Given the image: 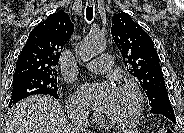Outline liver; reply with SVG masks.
I'll use <instances>...</instances> for the list:
<instances>
[{
    "label": "liver",
    "mask_w": 184,
    "mask_h": 133,
    "mask_svg": "<svg viewBox=\"0 0 184 133\" xmlns=\"http://www.w3.org/2000/svg\"><path fill=\"white\" fill-rule=\"evenodd\" d=\"M4 133H72L56 99L34 95L17 102L5 121Z\"/></svg>",
    "instance_id": "6515ba94"
}]
</instances>
